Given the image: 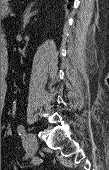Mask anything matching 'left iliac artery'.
<instances>
[{"mask_svg": "<svg viewBox=\"0 0 109 170\" xmlns=\"http://www.w3.org/2000/svg\"><path fill=\"white\" fill-rule=\"evenodd\" d=\"M17 132H18L19 136H21V137L25 136V127L23 125H19L17 127Z\"/></svg>", "mask_w": 109, "mask_h": 170, "instance_id": "1", "label": "left iliac artery"}]
</instances>
